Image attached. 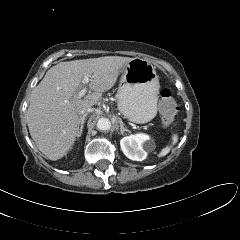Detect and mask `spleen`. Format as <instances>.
I'll use <instances>...</instances> for the list:
<instances>
[{
    "mask_svg": "<svg viewBox=\"0 0 240 240\" xmlns=\"http://www.w3.org/2000/svg\"><path fill=\"white\" fill-rule=\"evenodd\" d=\"M177 141H178V136L174 135L172 137V145L176 144ZM171 148H172V146H167V147L163 148L160 151V153L158 154V157H163V156L167 155L170 152Z\"/></svg>",
    "mask_w": 240,
    "mask_h": 240,
    "instance_id": "3e777b00",
    "label": "spleen"
}]
</instances>
